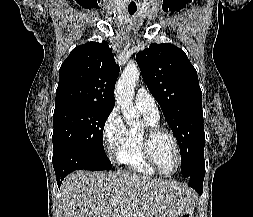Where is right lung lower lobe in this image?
I'll return each mask as SVG.
<instances>
[{
  "label": "right lung lower lobe",
  "instance_id": "1",
  "mask_svg": "<svg viewBox=\"0 0 253 217\" xmlns=\"http://www.w3.org/2000/svg\"><path fill=\"white\" fill-rule=\"evenodd\" d=\"M52 162L58 187H60L64 177L74 170H97L93 161L87 155L77 150H69L55 155Z\"/></svg>",
  "mask_w": 253,
  "mask_h": 217
}]
</instances>
